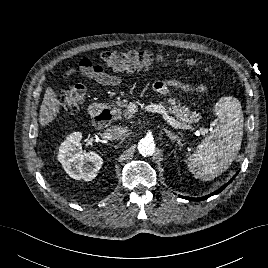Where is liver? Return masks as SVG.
Segmentation results:
<instances>
[{"label": "liver", "instance_id": "1", "mask_svg": "<svg viewBox=\"0 0 268 268\" xmlns=\"http://www.w3.org/2000/svg\"><path fill=\"white\" fill-rule=\"evenodd\" d=\"M60 102L51 87H47L39 113V123L46 126L54 120L59 113Z\"/></svg>", "mask_w": 268, "mask_h": 268}]
</instances>
